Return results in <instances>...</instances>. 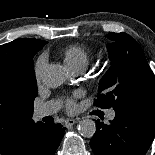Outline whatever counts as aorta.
I'll use <instances>...</instances> for the list:
<instances>
[{
	"mask_svg": "<svg viewBox=\"0 0 155 155\" xmlns=\"http://www.w3.org/2000/svg\"><path fill=\"white\" fill-rule=\"evenodd\" d=\"M43 84L48 88H57L67 79V70L59 64L46 66L41 74ZM79 133L86 138H91L96 132V124L91 119H83L78 125Z\"/></svg>",
	"mask_w": 155,
	"mask_h": 155,
	"instance_id": "1",
	"label": "aorta"
}]
</instances>
